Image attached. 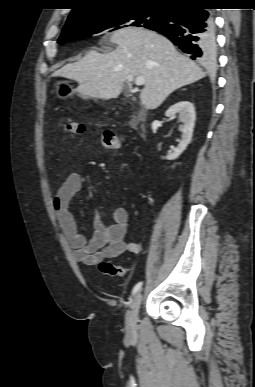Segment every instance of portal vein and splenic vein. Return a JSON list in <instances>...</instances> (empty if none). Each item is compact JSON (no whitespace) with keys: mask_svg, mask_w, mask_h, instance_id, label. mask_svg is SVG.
Masks as SVG:
<instances>
[{"mask_svg":"<svg viewBox=\"0 0 255 387\" xmlns=\"http://www.w3.org/2000/svg\"><path fill=\"white\" fill-rule=\"evenodd\" d=\"M127 80H128L129 82L134 81V83H135L137 86H140V85L145 84V79H144V77H137L135 80H134L133 77H128Z\"/></svg>","mask_w":255,"mask_h":387,"instance_id":"18ae733b","label":"portal vein and splenic vein"}]
</instances>
